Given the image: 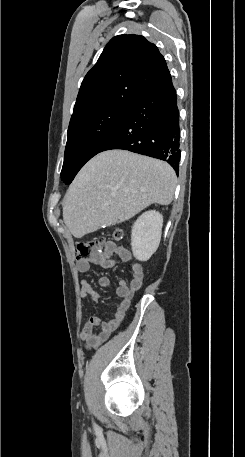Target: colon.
<instances>
[{"label": "colon", "mask_w": 245, "mask_h": 457, "mask_svg": "<svg viewBox=\"0 0 245 457\" xmlns=\"http://www.w3.org/2000/svg\"><path fill=\"white\" fill-rule=\"evenodd\" d=\"M114 238L118 241L122 240L124 238L123 231L121 229L115 230ZM103 245L104 240L99 237L80 241L75 247L76 257L79 261L89 260L102 252Z\"/></svg>", "instance_id": "5ec220e1"}]
</instances>
